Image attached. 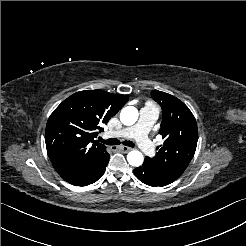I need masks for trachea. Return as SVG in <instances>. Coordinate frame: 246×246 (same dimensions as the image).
I'll return each mask as SVG.
<instances>
[{"label": "trachea", "mask_w": 246, "mask_h": 246, "mask_svg": "<svg viewBox=\"0 0 246 246\" xmlns=\"http://www.w3.org/2000/svg\"><path fill=\"white\" fill-rule=\"evenodd\" d=\"M99 141L106 144V145H119L121 142L116 139V138H110L107 140H104L102 138H99ZM123 145L129 146V147H135V144L132 141H123L122 142Z\"/></svg>", "instance_id": "1"}]
</instances>
